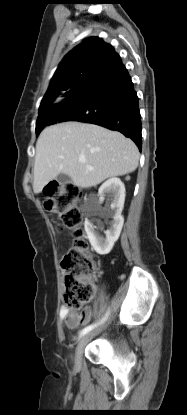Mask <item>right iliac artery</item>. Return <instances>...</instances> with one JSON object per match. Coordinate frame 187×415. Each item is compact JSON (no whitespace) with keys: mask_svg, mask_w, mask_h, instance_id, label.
I'll return each mask as SVG.
<instances>
[{"mask_svg":"<svg viewBox=\"0 0 187 415\" xmlns=\"http://www.w3.org/2000/svg\"><path fill=\"white\" fill-rule=\"evenodd\" d=\"M106 317H107V314H106V316L102 319L101 323H102L103 321H105ZM98 324H100V323L91 324V325H89V326L85 327L84 329H82V331H81V332H80V334H79V337H82V336H84L85 334H87L89 331H91L92 329H94V328H95Z\"/></svg>","mask_w":187,"mask_h":415,"instance_id":"right-iliac-artery-1","label":"right iliac artery"}]
</instances>
